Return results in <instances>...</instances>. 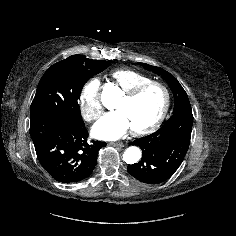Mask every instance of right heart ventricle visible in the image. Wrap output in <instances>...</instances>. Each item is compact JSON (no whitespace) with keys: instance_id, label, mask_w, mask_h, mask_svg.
<instances>
[{"instance_id":"e07e8e85","label":"right heart ventricle","mask_w":236,"mask_h":236,"mask_svg":"<svg viewBox=\"0 0 236 236\" xmlns=\"http://www.w3.org/2000/svg\"><path fill=\"white\" fill-rule=\"evenodd\" d=\"M110 77L123 92L129 91L135 86L151 80L147 75L127 68L112 71Z\"/></svg>"}]
</instances>
